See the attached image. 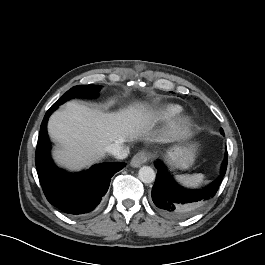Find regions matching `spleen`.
<instances>
[{"label": "spleen", "mask_w": 265, "mask_h": 265, "mask_svg": "<svg viewBox=\"0 0 265 265\" xmlns=\"http://www.w3.org/2000/svg\"><path fill=\"white\" fill-rule=\"evenodd\" d=\"M204 178V174L201 173L175 175L176 181L187 188H198L203 183Z\"/></svg>", "instance_id": "3e777b00"}]
</instances>
